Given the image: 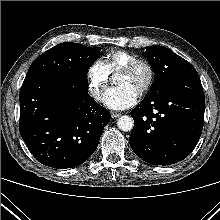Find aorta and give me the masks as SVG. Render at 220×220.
<instances>
[{"label": "aorta", "mask_w": 220, "mask_h": 220, "mask_svg": "<svg viewBox=\"0 0 220 220\" xmlns=\"http://www.w3.org/2000/svg\"><path fill=\"white\" fill-rule=\"evenodd\" d=\"M117 126L122 131H131L134 126L133 118L127 115H123L117 120Z\"/></svg>", "instance_id": "obj_1"}]
</instances>
